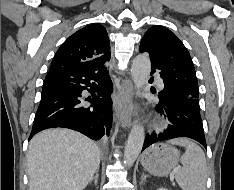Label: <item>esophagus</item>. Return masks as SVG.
Returning a JSON list of instances; mask_svg holds the SVG:
<instances>
[{
  "instance_id": "1",
  "label": "esophagus",
  "mask_w": 234,
  "mask_h": 190,
  "mask_svg": "<svg viewBox=\"0 0 234 190\" xmlns=\"http://www.w3.org/2000/svg\"><path fill=\"white\" fill-rule=\"evenodd\" d=\"M132 98V81L125 80L122 83L121 91L114 101L115 115L120 120L123 128H129L132 124Z\"/></svg>"
}]
</instances>
